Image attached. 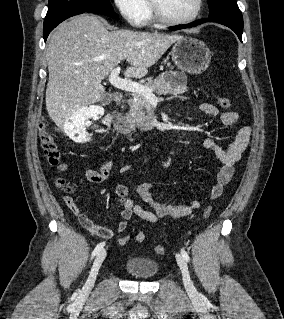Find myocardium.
<instances>
[{
	"label": "myocardium",
	"instance_id": "1",
	"mask_svg": "<svg viewBox=\"0 0 284 319\" xmlns=\"http://www.w3.org/2000/svg\"><path fill=\"white\" fill-rule=\"evenodd\" d=\"M150 8L153 18L160 23L167 25H183L189 24L195 21L202 13L204 7V0H197L196 9L192 15L186 18H172L166 15L162 9L154 2V0H149Z\"/></svg>",
	"mask_w": 284,
	"mask_h": 319
}]
</instances>
